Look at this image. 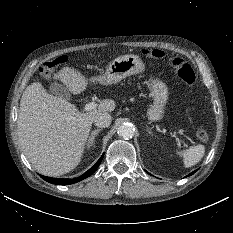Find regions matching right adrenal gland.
Here are the masks:
<instances>
[{
    "label": "right adrenal gland",
    "instance_id": "2a0ac1e0",
    "mask_svg": "<svg viewBox=\"0 0 233 233\" xmlns=\"http://www.w3.org/2000/svg\"><path fill=\"white\" fill-rule=\"evenodd\" d=\"M100 131H101V129H96V130L92 131L91 136L89 137V139H88V141H87V142H88V144H87L88 147H90V146L93 145L94 139H95L96 135H97Z\"/></svg>",
    "mask_w": 233,
    "mask_h": 233
}]
</instances>
